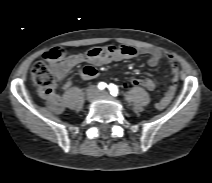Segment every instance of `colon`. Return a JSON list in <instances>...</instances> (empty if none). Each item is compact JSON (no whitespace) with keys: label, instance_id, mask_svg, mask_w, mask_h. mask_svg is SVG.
Returning a JSON list of instances; mask_svg holds the SVG:
<instances>
[{"label":"colon","instance_id":"obj_1","mask_svg":"<svg viewBox=\"0 0 212 183\" xmlns=\"http://www.w3.org/2000/svg\"><path fill=\"white\" fill-rule=\"evenodd\" d=\"M66 57V50L61 47H55L44 54V61L36 62L31 69V78L33 82L42 88H48L54 84V65ZM125 88L141 87L148 88L149 82L142 78H133L127 80Z\"/></svg>","mask_w":212,"mask_h":183}]
</instances>
